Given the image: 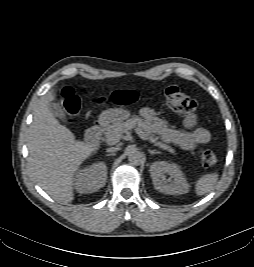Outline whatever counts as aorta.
Returning a JSON list of instances; mask_svg holds the SVG:
<instances>
[{"label": "aorta", "mask_w": 254, "mask_h": 267, "mask_svg": "<svg viewBox=\"0 0 254 267\" xmlns=\"http://www.w3.org/2000/svg\"><path fill=\"white\" fill-rule=\"evenodd\" d=\"M128 161L130 164L137 166L142 163L143 154L136 147H130L128 149Z\"/></svg>", "instance_id": "1"}]
</instances>
